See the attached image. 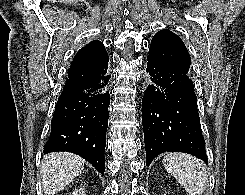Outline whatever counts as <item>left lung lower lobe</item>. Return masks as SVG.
Segmentation results:
<instances>
[{
  "label": "left lung lower lobe",
  "instance_id": "left-lung-lower-lobe-1",
  "mask_svg": "<svg viewBox=\"0 0 245 195\" xmlns=\"http://www.w3.org/2000/svg\"><path fill=\"white\" fill-rule=\"evenodd\" d=\"M147 60L151 84L142 100L146 165L164 152L189 153L208 163L192 80Z\"/></svg>",
  "mask_w": 245,
  "mask_h": 195
}]
</instances>
